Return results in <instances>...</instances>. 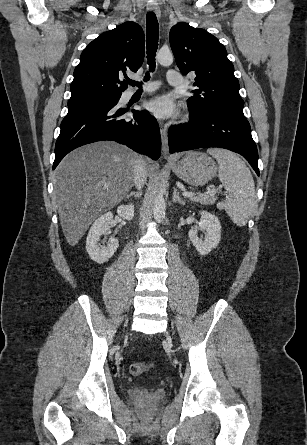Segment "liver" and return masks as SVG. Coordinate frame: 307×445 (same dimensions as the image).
<instances>
[{"label": "liver", "mask_w": 307, "mask_h": 445, "mask_svg": "<svg viewBox=\"0 0 307 445\" xmlns=\"http://www.w3.org/2000/svg\"><path fill=\"white\" fill-rule=\"evenodd\" d=\"M137 152L114 140L69 152L54 170V202L65 239L75 247L93 220L128 194Z\"/></svg>", "instance_id": "liver-1"}]
</instances>
